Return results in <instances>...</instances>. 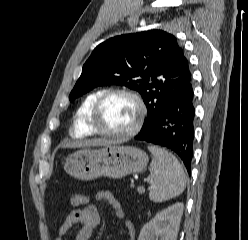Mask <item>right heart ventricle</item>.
Here are the masks:
<instances>
[{"mask_svg":"<svg viewBox=\"0 0 248 240\" xmlns=\"http://www.w3.org/2000/svg\"><path fill=\"white\" fill-rule=\"evenodd\" d=\"M103 92V89L94 90L82 100L74 114L73 124L70 129L72 137L83 139L95 133L90 124V115L96 100Z\"/></svg>","mask_w":248,"mask_h":240,"instance_id":"1","label":"right heart ventricle"}]
</instances>
